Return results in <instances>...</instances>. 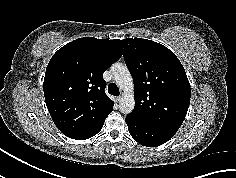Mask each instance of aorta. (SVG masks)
Returning a JSON list of instances; mask_svg holds the SVG:
<instances>
[{"mask_svg":"<svg viewBox=\"0 0 236 178\" xmlns=\"http://www.w3.org/2000/svg\"><path fill=\"white\" fill-rule=\"evenodd\" d=\"M116 84L123 90V97L119 102V109L123 114H129L135 107L134 83L132 75L126 65L115 63L111 67Z\"/></svg>","mask_w":236,"mask_h":178,"instance_id":"aorta-1","label":"aorta"}]
</instances>
